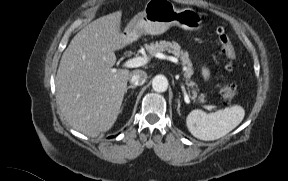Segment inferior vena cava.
<instances>
[{"label":"inferior vena cava","mask_w":288,"mask_h":181,"mask_svg":"<svg viewBox=\"0 0 288 181\" xmlns=\"http://www.w3.org/2000/svg\"><path fill=\"white\" fill-rule=\"evenodd\" d=\"M147 79V73L143 70H134L130 74V83L135 86L143 85Z\"/></svg>","instance_id":"602c4592"}]
</instances>
